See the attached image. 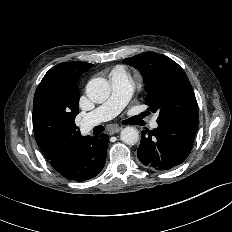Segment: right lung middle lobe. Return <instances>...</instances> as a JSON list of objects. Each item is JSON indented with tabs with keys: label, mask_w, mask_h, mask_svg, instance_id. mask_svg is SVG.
Segmentation results:
<instances>
[{
	"label": "right lung middle lobe",
	"mask_w": 232,
	"mask_h": 232,
	"mask_svg": "<svg viewBox=\"0 0 232 232\" xmlns=\"http://www.w3.org/2000/svg\"><path fill=\"white\" fill-rule=\"evenodd\" d=\"M36 115L43 122L42 131L49 136H54L74 121V117L67 113L66 107L58 102L44 106Z\"/></svg>",
	"instance_id": "right-lung-middle-lobe-1"
}]
</instances>
